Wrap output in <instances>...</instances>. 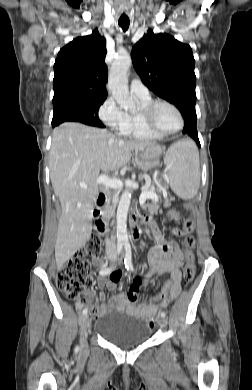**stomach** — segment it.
<instances>
[{"label": "stomach", "mask_w": 252, "mask_h": 390, "mask_svg": "<svg viewBox=\"0 0 252 390\" xmlns=\"http://www.w3.org/2000/svg\"><path fill=\"white\" fill-rule=\"evenodd\" d=\"M136 153V159L139 168L143 171H149L150 169L159 165V158L161 156L162 150L155 147H150L139 150Z\"/></svg>", "instance_id": "obj_1"}]
</instances>
